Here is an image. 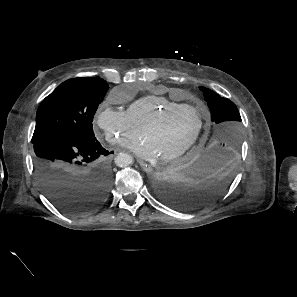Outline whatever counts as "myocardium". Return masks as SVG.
Listing matches in <instances>:
<instances>
[{"instance_id": "f54148a6", "label": "myocardium", "mask_w": 297, "mask_h": 297, "mask_svg": "<svg viewBox=\"0 0 297 297\" xmlns=\"http://www.w3.org/2000/svg\"><path fill=\"white\" fill-rule=\"evenodd\" d=\"M183 109H191L194 110L198 115V126L194 132V134L190 137V139L179 149H177L174 152L168 153L166 155H163L161 159L163 161H172L179 157H181L183 154H185L190 148H192L200 138V135L202 133V130L204 128V116L200 113L199 108L197 106H193L190 104H180L176 106L167 107L165 109H162L158 111L153 117H151L146 124L141 128V134L143 135L149 128H152L156 126L158 123H160L166 116L179 111Z\"/></svg>"}]
</instances>
